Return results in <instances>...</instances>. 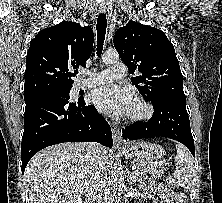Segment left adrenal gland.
Segmentation results:
<instances>
[{
	"instance_id": "1",
	"label": "left adrenal gland",
	"mask_w": 222,
	"mask_h": 203,
	"mask_svg": "<svg viewBox=\"0 0 222 203\" xmlns=\"http://www.w3.org/2000/svg\"><path fill=\"white\" fill-rule=\"evenodd\" d=\"M127 180H130L131 183L136 182L137 180L134 172H132L129 168L127 169Z\"/></svg>"
}]
</instances>
